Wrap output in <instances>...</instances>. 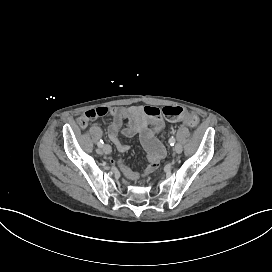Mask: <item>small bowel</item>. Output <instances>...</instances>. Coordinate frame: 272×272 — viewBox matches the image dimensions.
Segmentation results:
<instances>
[{"instance_id": "obj_1", "label": "small bowel", "mask_w": 272, "mask_h": 272, "mask_svg": "<svg viewBox=\"0 0 272 272\" xmlns=\"http://www.w3.org/2000/svg\"><path fill=\"white\" fill-rule=\"evenodd\" d=\"M144 110L145 107L140 105L110 108L112 121L107 127V132L109 138L121 153L127 152L129 147L119 140L120 133L126 137L138 136L140 138L150 158V164L143 173V175H147L149 174L148 167L152 164L157 166L159 160L164 156L165 151L156 136L158 132L157 126L160 125L162 127L163 125L162 119L159 117L155 122H150L145 117ZM178 120L187 124L183 118H179ZM109 162L112 163L111 161ZM122 170L126 178L130 181H137L142 176L139 172L126 166H123Z\"/></svg>"}]
</instances>
